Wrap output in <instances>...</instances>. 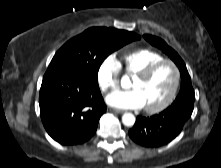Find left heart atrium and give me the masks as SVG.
I'll return each instance as SVG.
<instances>
[{
    "label": "left heart atrium",
    "instance_id": "1",
    "mask_svg": "<svg viewBox=\"0 0 221 168\" xmlns=\"http://www.w3.org/2000/svg\"><path fill=\"white\" fill-rule=\"evenodd\" d=\"M106 101L109 105L120 109H140L144 107V101L135 89L115 91L107 96Z\"/></svg>",
    "mask_w": 221,
    "mask_h": 168
}]
</instances>
